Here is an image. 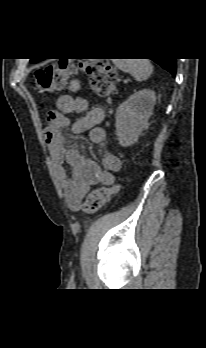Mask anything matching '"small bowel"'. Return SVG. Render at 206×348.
<instances>
[{
    "label": "small bowel",
    "instance_id": "c3829d8e",
    "mask_svg": "<svg viewBox=\"0 0 206 348\" xmlns=\"http://www.w3.org/2000/svg\"><path fill=\"white\" fill-rule=\"evenodd\" d=\"M80 81L74 80L69 85V92L58 97L57 110L49 111L46 115V126L43 129L44 140L49 147L55 174L61 183L68 206L73 211L81 208L82 201L92 186H113L116 174L121 170L119 157L105 152L102 165L85 159L79 151L65 146L64 129L70 128L73 135L88 132L89 140L96 145H104L106 134L99 126L105 117L102 107H88L85 98L77 96ZM83 113L84 115L69 122L67 114ZM65 164L72 168V176L68 177Z\"/></svg>",
    "mask_w": 206,
    "mask_h": 348
}]
</instances>
